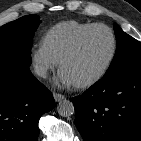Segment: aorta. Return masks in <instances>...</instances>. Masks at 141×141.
Listing matches in <instances>:
<instances>
[{
  "label": "aorta",
  "mask_w": 141,
  "mask_h": 141,
  "mask_svg": "<svg viewBox=\"0 0 141 141\" xmlns=\"http://www.w3.org/2000/svg\"><path fill=\"white\" fill-rule=\"evenodd\" d=\"M57 112L62 117H69L74 114V105L69 100H63L57 105Z\"/></svg>",
  "instance_id": "aorta-1"
}]
</instances>
